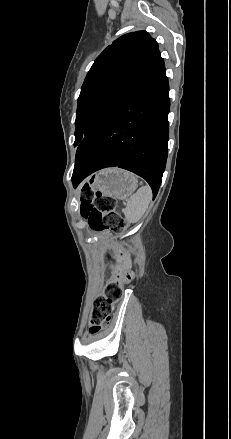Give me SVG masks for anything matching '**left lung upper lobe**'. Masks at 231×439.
<instances>
[{"instance_id":"left-lung-upper-lobe-1","label":"left lung upper lobe","mask_w":231,"mask_h":439,"mask_svg":"<svg viewBox=\"0 0 231 439\" xmlns=\"http://www.w3.org/2000/svg\"><path fill=\"white\" fill-rule=\"evenodd\" d=\"M158 44L146 31L116 39L95 60L78 98L75 146L141 80L161 64Z\"/></svg>"}]
</instances>
